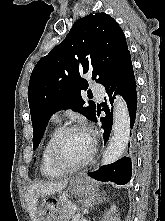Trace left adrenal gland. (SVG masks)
<instances>
[{"label": "left adrenal gland", "mask_w": 165, "mask_h": 221, "mask_svg": "<svg viewBox=\"0 0 165 221\" xmlns=\"http://www.w3.org/2000/svg\"><path fill=\"white\" fill-rule=\"evenodd\" d=\"M104 199H105V197H103V198L100 197V194H95L93 196L88 197L85 200L84 206L89 207V206H93L95 204L102 203Z\"/></svg>", "instance_id": "left-adrenal-gland-1"}]
</instances>
